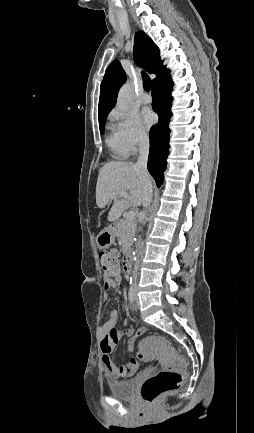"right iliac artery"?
Returning <instances> with one entry per match:
<instances>
[{"label":"right iliac artery","mask_w":254,"mask_h":433,"mask_svg":"<svg viewBox=\"0 0 254 433\" xmlns=\"http://www.w3.org/2000/svg\"><path fill=\"white\" fill-rule=\"evenodd\" d=\"M128 297H129V301L133 303L135 300V290L133 285L130 286Z\"/></svg>","instance_id":"obj_1"}]
</instances>
